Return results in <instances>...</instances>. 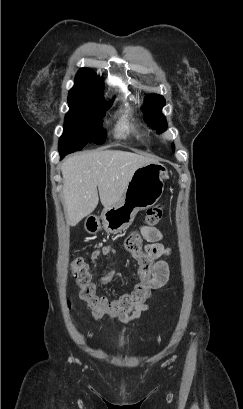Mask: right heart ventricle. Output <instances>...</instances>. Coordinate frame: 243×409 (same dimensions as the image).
<instances>
[{
	"label": "right heart ventricle",
	"mask_w": 243,
	"mask_h": 409,
	"mask_svg": "<svg viewBox=\"0 0 243 409\" xmlns=\"http://www.w3.org/2000/svg\"><path fill=\"white\" fill-rule=\"evenodd\" d=\"M117 132L119 136L136 132L135 127L128 121V114L126 112L121 116V121L118 125Z\"/></svg>",
	"instance_id": "1"
}]
</instances>
